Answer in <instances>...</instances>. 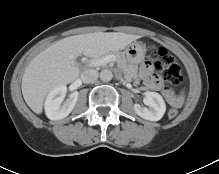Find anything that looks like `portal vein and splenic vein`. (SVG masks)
Listing matches in <instances>:
<instances>
[{
  "instance_id": "obj_1",
  "label": "portal vein and splenic vein",
  "mask_w": 219,
  "mask_h": 174,
  "mask_svg": "<svg viewBox=\"0 0 219 174\" xmlns=\"http://www.w3.org/2000/svg\"><path fill=\"white\" fill-rule=\"evenodd\" d=\"M112 59V56H107L101 60H94L89 65L90 66H103L107 64Z\"/></svg>"
}]
</instances>
